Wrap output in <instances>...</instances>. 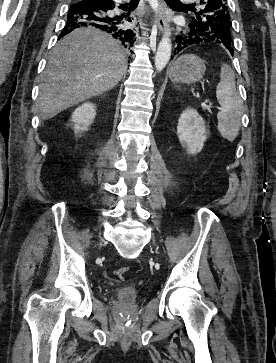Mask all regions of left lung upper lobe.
I'll return each mask as SVG.
<instances>
[{
    "label": "left lung upper lobe",
    "mask_w": 276,
    "mask_h": 363,
    "mask_svg": "<svg viewBox=\"0 0 276 363\" xmlns=\"http://www.w3.org/2000/svg\"><path fill=\"white\" fill-rule=\"evenodd\" d=\"M203 9L196 18H192L191 25L200 26L214 36L213 42L224 45L228 50L231 47V27L229 8L226 0H201Z\"/></svg>",
    "instance_id": "1"
}]
</instances>
